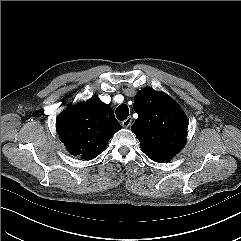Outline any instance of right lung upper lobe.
Wrapping results in <instances>:
<instances>
[{
	"mask_svg": "<svg viewBox=\"0 0 241 241\" xmlns=\"http://www.w3.org/2000/svg\"><path fill=\"white\" fill-rule=\"evenodd\" d=\"M120 128L112 109L97 97L64 111L57 121L61 142L72 155L84 160L102 153Z\"/></svg>",
	"mask_w": 241,
	"mask_h": 241,
	"instance_id": "cb5924a9",
	"label": "right lung upper lobe"
}]
</instances>
